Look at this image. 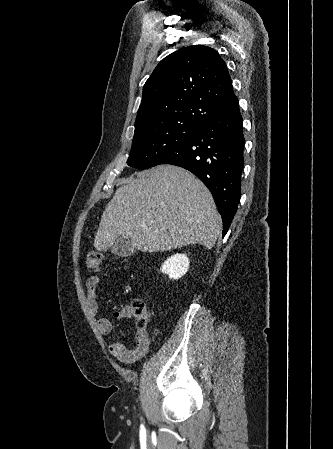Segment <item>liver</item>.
<instances>
[{
    "instance_id": "obj_1",
    "label": "liver",
    "mask_w": 333,
    "mask_h": 449,
    "mask_svg": "<svg viewBox=\"0 0 333 449\" xmlns=\"http://www.w3.org/2000/svg\"><path fill=\"white\" fill-rule=\"evenodd\" d=\"M125 182L102 214L96 250H108L119 236L143 252L215 245L221 216L210 191L189 171L161 165L135 172Z\"/></svg>"
}]
</instances>
